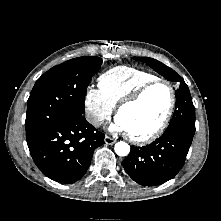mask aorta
I'll use <instances>...</instances> for the list:
<instances>
[{
  "mask_svg": "<svg viewBox=\"0 0 221 221\" xmlns=\"http://www.w3.org/2000/svg\"><path fill=\"white\" fill-rule=\"evenodd\" d=\"M114 149L118 156H127L130 152V146L123 141L116 143Z\"/></svg>",
  "mask_w": 221,
  "mask_h": 221,
  "instance_id": "762f6f07",
  "label": "aorta"
}]
</instances>
